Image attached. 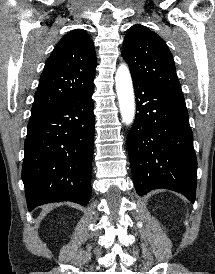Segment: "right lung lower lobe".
<instances>
[{"mask_svg":"<svg viewBox=\"0 0 215 274\" xmlns=\"http://www.w3.org/2000/svg\"><path fill=\"white\" fill-rule=\"evenodd\" d=\"M93 89L30 118L22 167L29 211L51 202L88 204L95 124Z\"/></svg>","mask_w":215,"mask_h":274,"instance_id":"1","label":"right lung lower lobe"}]
</instances>
